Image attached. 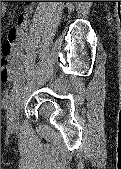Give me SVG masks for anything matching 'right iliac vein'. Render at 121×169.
Instances as JSON below:
<instances>
[{
	"instance_id": "right-iliac-vein-1",
	"label": "right iliac vein",
	"mask_w": 121,
	"mask_h": 169,
	"mask_svg": "<svg viewBox=\"0 0 121 169\" xmlns=\"http://www.w3.org/2000/svg\"><path fill=\"white\" fill-rule=\"evenodd\" d=\"M23 88L20 86L11 98L10 107L7 112V118L10 128L15 129L18 125V112L22 98Z\"/></svg>"
}]
</instances>
